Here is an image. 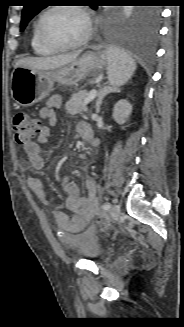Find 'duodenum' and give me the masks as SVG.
<instances>
[{"mask_svg": "<svg viewBox=\"0 0 184 327\" xmlns=\"http://www.w3.org/2000/svg\"><path fill=\"white\" fill-rule=\"evenodd\" d=\"M87 125V124H86ZM88 126V125H87ZM89 127V126H88ZM81 137L86 141L87 140V129L85 127L82 128Z\"/></svg>", "mask_w": 184, "mask_h": 327, "instance_id": "410a0bca", "label": "duodenum"}]
</instances>
